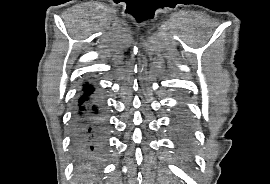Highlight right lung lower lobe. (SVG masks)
<instances>
[{
	"mask_svg": "<svg viewBox=\"0 0 270 184\" xmlns=\"http://www.w3.org/2000/svg\"><path fill=\"white\" fill-rule=\"evenodd\" d=\"M73 122L76 150L84 156H99L102 153L104 136L102 104L95 88L88 83L80 90Z\"/></svg>",
	"mask_w": 270,
	"mask_h": 184,
	"instance_id": "right-lung-lower-lobe-1",
	"label": "right lung lower lobe"
}]
</instances>
